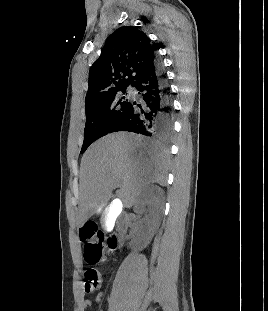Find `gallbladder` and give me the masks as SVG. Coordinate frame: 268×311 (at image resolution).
Masks as SVG:
<instances>
[{
	"mask_svg": "<svg viewBox=\"0 0 268 311\" xmlns=\"http://www.w3.org/2000/svg\"><path fill=\"white\" fill-rule=\"evenodd\" d=\"M123 205V199H112L110 202H106L105 209L103 211L104 215L101 218L103 226H107L104 229L105 234H114V221H116L117 216L121 213Z\"/></svg>",
	"mask_w": 268,
	"mask_h": 311,
	"instance_id": "1",
	"label": "gallbladder"
}]
</instances>
